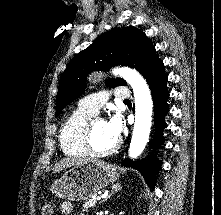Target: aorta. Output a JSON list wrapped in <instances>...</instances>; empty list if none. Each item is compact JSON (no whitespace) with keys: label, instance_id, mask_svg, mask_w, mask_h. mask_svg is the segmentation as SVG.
Masks as SVG:
<instances>
[{"label":"aorta","instance_id":"762f6f07","mask_svg":"<svg viewBox=\"0 0 221 215\" xmlns=\"http://www.w3.org/2000/svg\"><path fill=\"white\" fill-rule=\"evenodd\" d=\"M112 73L123 78L133 89L135 124L128 154L130 158H137L143 152L149 139L153 110L151 92L145 79L134 69L115 68Z\"/></svg>","mask_w":221,"mask_h":215}]
</instances>
